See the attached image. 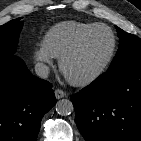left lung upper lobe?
I'll return each mask as SVG.
<instances>
[{"label":"left lung upper lobe","mask_w":141,"mask_h":141,"mask_svg":"<svg viewBox=\"0 0 141 141\" xmlns=\"http://www.w3.org/2000/svg\"><path fill=\"white\" fill-rule=\"evenodd\" d=\"M119 36L118 51L107 71L134 62H141V39L116 27Z\"/></svg>","instance_id":"1"}]
</instances>
